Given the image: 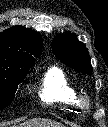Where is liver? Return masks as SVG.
Returning a JSON list of instances; mask_svg holds the SVG:
<instances>
[{"instance_id": "1", "label": "liver", "mask_w": 108, "mask_h": 127, "mask_svg": "<svg viewBox=\"0 0 108 127\" xmlns=\"http://www.w3.org/2000/svg\"><path fill=\"white\" fill-rule=\"evenodd\" d=\"M17 127H64L58 122H54L43 118H33L25 121L24 123L18 125Z\"/></svg>"}]
</instances>
